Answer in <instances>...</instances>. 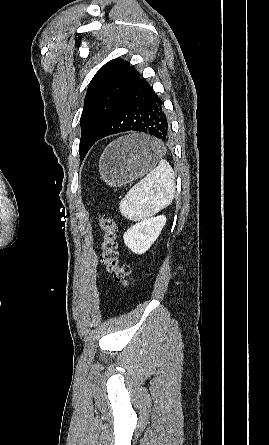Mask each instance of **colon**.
Instances as JSON below:
<instances>
[{
    "label": "colon",
    "mask_w": 269,
    "mask_h": 445,
    "mask_svg": "<svg viewBox=\"0 0 269 445\" xmlns=\"http://www.w3.org/2000/svg\"><path fill=\"white\" fill-rule=\"evenodd\" d=\"M98 226L103 233L100 257L102 264L124 288L130 287L134 280L131 276L130 267L126 264H121L119 261L117 223L115 219L111 216L101 215L98 218Z\"/></svg>",
    "instance_id": "colon-1"
}]
</instances>
